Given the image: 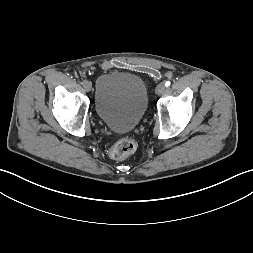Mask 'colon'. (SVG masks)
<instances>
[{
  "mask_svg": "<svg viewBox=\"0 0 253 253\" xmlns=\"http://www.w3.org/2000/svg\"><path fill=\"white\" fill-rule=\"evenodd\" d=\"M137 147V143L132 138H123L117 141L109 150V157L120 161L130 156Z\"/></svg>",
  "mask_w": 253,
  "mask_h": 253,
  "instance_id": "1",
  "label": "colon"
}]
</instances>
